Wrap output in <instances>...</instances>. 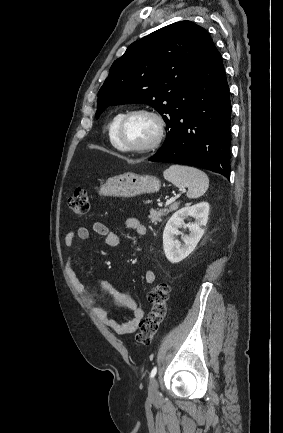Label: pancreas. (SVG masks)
Listing matches in <instances>:
<instances>
[{"label": "pancreas", "mask_w": 283, "mask_h": 433, "mask_svg": "<svg viewBox=\"0 0 283 433\" xmlns=\"http://www.w3.org/2000/svg\"><path fill=\"white\" fill-rule=\"evenodd\" d=\"M178 204H171L169 208H160V210H155V208H151L149 219L152 223H158V221H162L161 217H164V214H168L171 210H176Z\"/></svg>", "instance_id": "cf45deb5"}]
</instances>
